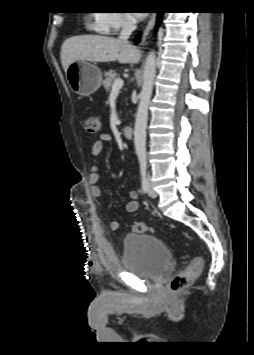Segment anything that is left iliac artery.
<instances>
[{"instance_id": "obj_1", "label": "left iliac artery", "mask_w": 254, "mask_h": 355, "mask_svg": "<svg viewBox=\"0 0 254 355\" xmlns=\"http://www.w3.org/2000/svg\"><path fill=\"white\" fill-rule=\"evenodd\" d=\"M140 171H141V178H142V191L147 192L148 190V179H147V160L146 156H140Z\"/></svg>"}]
</instances>
